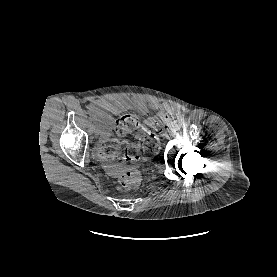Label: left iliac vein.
<instances>
[{
  "instance_id": "obj_1",
  "label": "left iliac vein",
  "mask_w": 277,
  "mask_h": 277,
  "mask_svg": "<svg viewBox=\"0 0 277 277\" xmlns=\"http://www.w3.org/2000/svg\"><path fill=\"white\" fill-rule=\"evenodd\" d=\"M176 132H177V130H176L174 127H171V128L169 129V135H170V136H175Z\"/></svg>"
}]
</instances>
